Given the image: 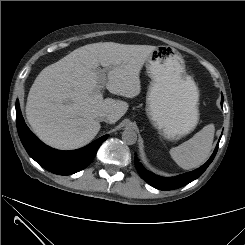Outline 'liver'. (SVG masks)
Segmentation results:
<instances>
[{
  "label": "liver",
  "mask_w": 245,
  "mask_h": 245,
  "mask_svg": "<svg viewBox=\"0 0 245 245\" xmlns=\"http://www.w3.org/2000/svg\"><path fill=\"white\" fill-rule=\"evenodd\" d=\"M156 46L99 42L79 47L45 67L30 88L26 118L46 144L73 150L98 134V118L117 122L128 103L103 98L98 66L108 70L106 88L115 95L134 98L140 94V72Z\"/></svg>",
  "instance_id": "liver-1"
}]
</instances>
